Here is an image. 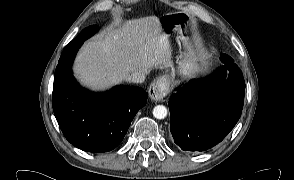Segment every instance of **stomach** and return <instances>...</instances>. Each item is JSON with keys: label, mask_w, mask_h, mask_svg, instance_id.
<instances>
[{"label": "stomach", "mask_w": 294, "mask_h": 180, "mask_svg": "<svg viewBox=\"0 0 294 180\" xmlns=\"http://www.w3.org/2000/svg\"><path fill=\"white\" fill-rule=\"evenodd\" d=\"M159 24L162 31L168 35L177 32L178 39L187 49V52L178 61L179 73L183 77L196 76L200 68L188 36L191 27L189 16L184 12L166 13L159 17Z\"/></svg>", "instance_id": "0dacf381"}]
</instances>
